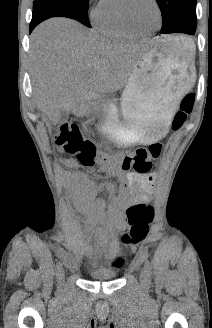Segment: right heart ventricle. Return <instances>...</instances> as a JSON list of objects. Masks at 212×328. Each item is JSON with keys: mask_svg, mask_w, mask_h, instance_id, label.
Here are the masks:
<instances>
[{"mask_svg": "<svg viewBox=\"0 0 212 328\" xmlns=\"http://www.w3.org/2000/svg\"><path fill=\"white\" fill-rule=\"evenodd\" d=\"M119 6V0H104L95 18L96 27L101 33L112 38L125 39L137 37L138 34L132 32L124 25Z\"/></svg>", "mask_w": 212, "mask_h": 328, "instance_id": "1", "label": "right heart ventricle"}]
</instances>
